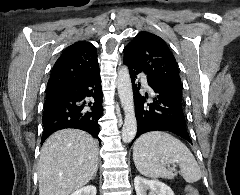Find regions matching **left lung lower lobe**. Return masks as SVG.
<instances>
[{"label": "left lung lower lobe", "instance_id": "obj_1", "mask_svg": "<svg viewBox=\"0 0 240 195\" xmlns=\"http://www.w3.org/2000/svg\"><path fill=\"white\" fill-rule=\"evenodd\" d=\"M124 63L129 68L133 84L137 118L136 138L149 131H169L191 142L185 125L181 96L166 90L163 85L153 82L147 77V82L155 96L152 98V102L146 103V98L149 97L148 95L143 97L139 94L140 84L136 82L138 75L142 72L134 68L127 60H124Z\"/></svg>", "mask_w": 240, "mask_h": 195}]
</instances>
